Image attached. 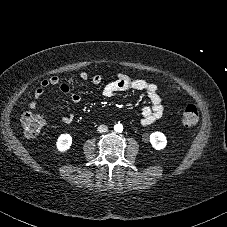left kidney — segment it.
Segmentation results:
<instances>
[{"label":"left kidney","mask_w":227,"mask_h":227,"mask_svg":"<svg viewBox=\"0 0 227 227\" xmlns=\"http://www.w3.org/2000/svg\"><path fill=\"white\" fill-rule=\"evenodd\" d=\"M150 143L156 150H162L167 145V139L162 132L156 131L150 134Z\"/></svg>","instance_id":"left-kidney-1"}]
</instances>
